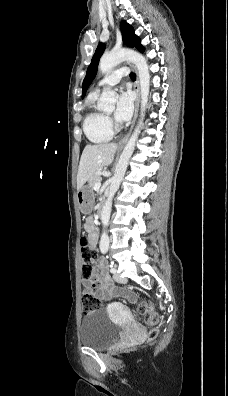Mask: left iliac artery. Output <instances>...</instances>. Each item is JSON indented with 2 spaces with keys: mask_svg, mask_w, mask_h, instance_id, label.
<instances>
[{
  "mask_svg": "<svg viewBox=\"0 0 228 396\" xmlns=\"http://www.w3.org/2000/svg\"><path fill=\"white\" fill-rule=\"evenodd\" d=\"M110 272L111 273H116V269L113 267V265H110Z\"/></svg>",
  "mask_w": 228,
  "mask_h": 396,
  "instance_id": "1",
  "label": "left iliac artery"
}]
</instances>
